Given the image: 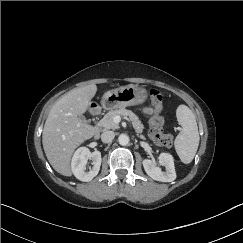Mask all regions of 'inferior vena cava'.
<instances>
[{"mask_svg":"<svg viewBox=\"0 0 243 243\" xmlns=\"http://www.w3.org/2000/svg\"><path fill=\"white\" fill-rule=\"evenodd\" d=\"M115 137V133L113 131H105L101 134V140L104 143L111 142Z\"/></svg>","mask_w":243,"mask_h":243,"instance_id":"inferior-vena-cava-1","label":"inferior vena cava"}]
</instances>
